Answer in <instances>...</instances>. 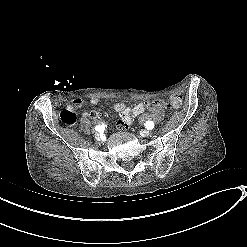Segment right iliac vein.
<instances>
[{
  "label": "right iliac vein",
  "instance_id": "1",
  "mask_svg": "<svg viewBox=\"0 0 247 247\" xmlns=\"http://www.w3.org/2000/svg\"><path fill=\"white\" fill-rule=\"evenodd\" d=\"M94 136H95V139L96 140H100L101 139V135L99 133H95Z\"/></svg>",
  "mask_w": 247,
  "mask_h": 247
}]
</instances>
